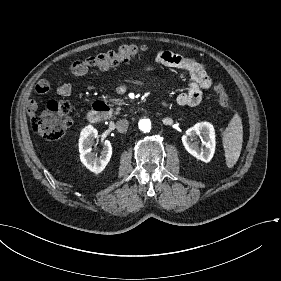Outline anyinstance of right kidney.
I'll use <instances>...</instances> for the list:
<instances>
[{
	"label": "right kidney",
	"instance_id": "1",
	"mask_svg": "<svg viewBox=\"0 0 281 281\" xmlns=\"http://www.w3.org/2000/svg\"><path fill=\"white\" fill-rule=\"evenodd\" d=\"M98 137V130L87 126L82 130L79 139L80 159L82 163L92 172L101 173L109 163L112 156V146L108 140L104 141L101 157L97 158L93 152L94 140Z\"/></svg>",
	"mask_w": 281,
	"mask_h": 281
}]
</instances>
